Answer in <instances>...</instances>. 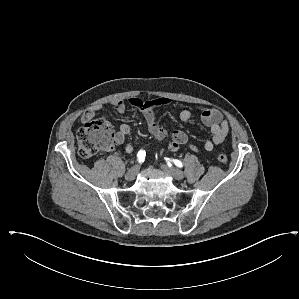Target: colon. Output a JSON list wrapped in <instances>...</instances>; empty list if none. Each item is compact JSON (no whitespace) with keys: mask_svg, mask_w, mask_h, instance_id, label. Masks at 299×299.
Masks as SVG:
<instances>
[{"mask_svg":"<svg viewBox=\"0 0 299 299\" xmlns=\"http://www.w3.org/2000/svg\"><path fill=\"white\" fill-rule=\"evenodd\" d=\"M117 141V134L111 124L104 118H93L85 122L77 132L78 153L81 158L88 159L99 152L111 149ZM217 160L226 164L227 156L220 153Z\"/></svg>","mask_w":299,"mask_h":299,"instance_id":"1","label":"colon"}]
</instances>
